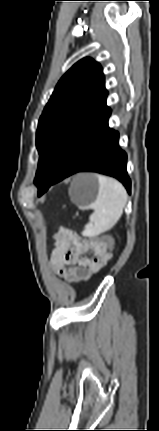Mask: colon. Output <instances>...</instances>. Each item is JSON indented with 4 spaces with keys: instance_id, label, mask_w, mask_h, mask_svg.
I'll return each instance as SVG.
<instances>
[{
    "instance_id": "obj_1",
    "label": "colon",
    "mask_w": 159,
    "mask_h": 431,
    "mask_svg": "<svg viewBox=\"0 0 159 431\" xmlns=\"http://www.w3.org/2000/svg\"><path fill=\"white\" fill-rule=\"evenodd\" d=\"M97 239L100 240H105L107 242V248H110L112 250L113 248V239L110 236L107 235H98Z\"/></svg>"
}]
</instances>
